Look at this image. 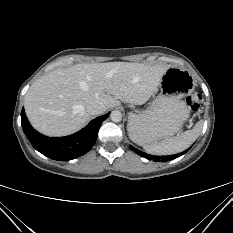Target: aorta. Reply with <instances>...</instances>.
Here are the masks:
<instances>
[{
    "label": "aorta",
    "mask_w": 233,
    "mask_h": 233,
    "mask_svg": "<svg viewBox=\"0 0 233 233\" xmlns=\"http://www.w3.org/2000/svg\"><path fill=\"white\" fill-rule=\"evenodd\" d=\"M110 118L113 122H120L122 120V113L118 110L112 111Z\"/></svg>",
    "instance_id": "aorta-1"
}]
</instances>
